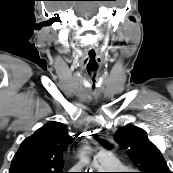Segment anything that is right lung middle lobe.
I'll use <instances>...</instances> for the list:
<instances>
[{
	"mask_svg": "<svg viewBox=\"0 0 173 173\" xmlns=\"http://www.w3.org/2000/svg\"><path fill=\"white\" fill-rule=\"evenodd\" d=\"M18 173H31V171H18Z\"/></svg>",
	"mask_w": 173,
	"mask_h": 173,
	"instance_id": "right-lung-middle-lobe-1",
	"label": "right lung middle lobe"
}]
</instances>
